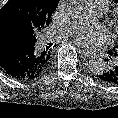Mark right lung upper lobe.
<instances>
[{
  "mask_svg": "<svg viewBox=\"0 0 118 118\" xmlns=\"http://www.w3.org/2000/svg\"><path fill=\"white\" fill-rule=\"evenodd\" d=\"M42 1L45 2L47 5H49V7H50V5H58V2H59V0H42ZM44 28L45 27H43L39 32H37L33 35H29L27 33L30 41L33 42L34 45H36L38 47V51L36 54V67H35L38 73H41L44 69H46V67L48 66L49 61H50L49 47H46V48L41 47L39 40H38L39 35ZM6 29H17V28H14L10 25H0V31L6 30Z\"/></svg>",
  "mask_w": 118,
  "mask_h": 118,
  "instance_id": "right-lung-upper-lobe-1",
  "label": "right lung upper lobe"
}]
</instances>
